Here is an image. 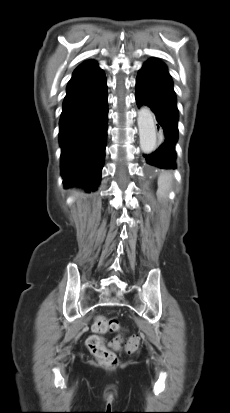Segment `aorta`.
Here are the masks:
<instances>
[{"mask_svg": "<svg viewBox=\"0 0 230 413\" xmlns=\"http://www.w3.org/2000/svg\"><path fill=\"white\" fill-rule=\"evenodd\" d=\"M138 128L140 137V147L144 153H151L157 143V134L155 127V119L151 110L147 107H142L138 111Z\"/></svg>", "mask_w": 230, "mask_h": 413, "instance_id": "aorta-1", "label": "aorta"}]
</instances>
